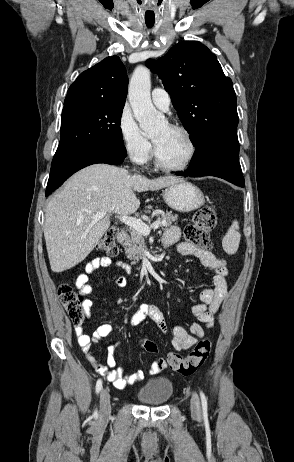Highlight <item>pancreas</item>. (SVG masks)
I'll use <instances>...</instances> for the list:
<instances>
[{"label":"pancreas","mask_w":294,"mask_h":462,"mask_svg":"<svg viewBox=\"0 0 294 462\" xmlns=\"http://www.w3.org/2000/svg\"><path fill=\"white\" fill-rule=\"evenodd\" d=\"M157 220L161 222L162 227L171 226L174 221L178 219L177 215L172 212L156 213ZM125 253L130 260L138 261L144 257L146 250L145 240L143 234L137 230L131 229L130 236L124 243Z\"/></svg>","instance_id":"1"}]
</instances>
